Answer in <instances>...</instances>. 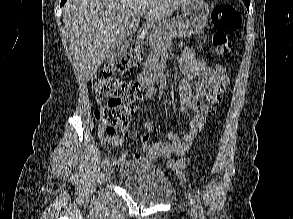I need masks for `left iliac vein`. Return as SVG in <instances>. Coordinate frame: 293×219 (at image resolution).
<instances>
[{
    "label": "left iliac vein",
    "instance_id": "obj_1",
    "mask_svg": "<svg viewBox=\"0 0 293 219\" xmlns=\"http://www.w3.org/2000/svg\"><path fill=\"white\" fill-rule=\"evenodd\" d=\"M189 204H190V207H191V216H192V218L197 219V206L195 204V201L192 198H190Z\"/></svg>",
    "mask_w": 293,
    "mask_h": 219
}]
</instances>
